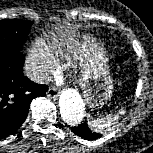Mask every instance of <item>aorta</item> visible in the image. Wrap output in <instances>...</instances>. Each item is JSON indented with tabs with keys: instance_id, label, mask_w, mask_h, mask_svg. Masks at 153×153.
Masks as SVG:
<instances>
[{
	"instance_id": "1",
	"label": "aorta",
	"mask_w": 153,
	"mask_h": 153,
	"mask_svg": "<svg viewBox=\"0 0 153 153\" xmlns=\"http://www.w3.org/2000/svg\"><path fill=\"white\" fill-rule=\"evenodd\" d=\"M59 109L63 120L69 125L79 124L85 113L84 102L73 89H66L61 93Z\"/></svg>"
}]
</instances>
